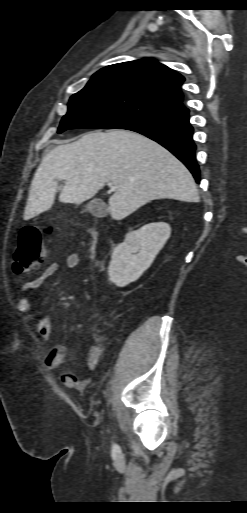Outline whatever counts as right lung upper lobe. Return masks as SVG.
<instances>
[{
  "mask_svg": "<svg viewBox=\"0 0 247 513\" xmlns=\"http://www.w3.org/2000/svg\"><path fill=\"white\" fill-rule=\"evenodd\" d=\"M184 77L151 59L118 63L97 71L81 90L117 88L141 94L172 110L184 108L180 87Z\"/></svg>",
  "mask_w": 247,
  "mask_h": 513,
  "instance_id": "obj_1",
  "label": "right lung upper lobe"
}]
</instances>
